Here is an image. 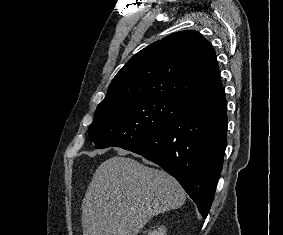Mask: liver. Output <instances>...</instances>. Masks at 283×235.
<instances>
[{
	"mask_svg": "<svg viewBox=\"0 0 283 235\" xmlns=\"http://www.w3.org/2000/svg\"><path fill=\"white\" fill-rule=\"evenodd\" d=\"M118 154L93 174L82 204L83 235H137L150 218L186 200L168 173Z\"/></svg>",
	"mask_w": 283,
	"mask_h": 235,
	"instance_id": "liver-1",
	"label": "liver"
}]
</instances>
